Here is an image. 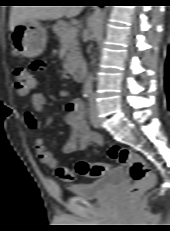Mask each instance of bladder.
I'll return each instance as SVG.
<instances>
[{"label":"bladder","instance_id":"1","mask_svg":"<svg viewBox=\"0 0 170 231\" xmlns=\"http://www.w3.org/2000/svg\"><path fill=\"white\" fill-rule=\"evenodd\" d=\"M126 179L124 168H114L95 181L74 185L70 190L75 196L83 199L101 198L124 183Z\"/></svg>","mask_w":170,"mask_h":231}]
</instances>
